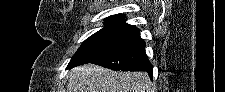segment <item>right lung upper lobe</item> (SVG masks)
<instances>
[{"label": "right lung upper lobe", "instance_id": "1", "mask_svg": "<svg viewBox=\"0 0 225 92\" xmlns=\"http://www.w3.org/2000/svg\"><path fill=\"white\" fill-rule=\"evenodd\" d=\"M105 21H106L105 24H118V25H124V26H129V27L138 29L135 26L129 25L128 23H126L125 18L121 14L110 16L106 18Z\"/></svg>", "mask_w": 225, "mask_h": 92}]
</instances>
